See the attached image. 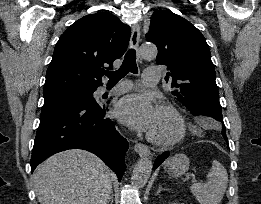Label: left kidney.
Segmentation results:
<instances>
[{
	"instance_id": "1",
	"label": "left kidney",
	"mask_w": 261,
	"mask_h": 204,
	"mask_svg": "<svg viewBox=\"0 0 261 204\" xmlns=\"http://www.w3.org/2000/svg\"><path fill=\"white\" fill-rule=\"evenodd\" d=\"M170 204H183V203H170Z\"/></svg>"
}]
</instances>
